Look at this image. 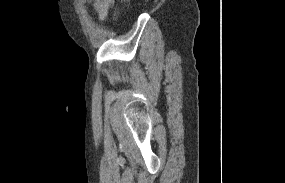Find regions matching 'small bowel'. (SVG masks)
<instances>
[{
	"label": "small bowel",
	"mask_w": 285,
	"mask_h": 183,
	"mask_svg": "<svg viewBox=\"0 0 285 183\" xmlns=\"http://www.w3.org/2000/svg\"><path fill=\"white\" fill-rule=\"evenodd\" d=\"M92 3L94 12L100 21H104L109 13V9L114 4V0H88Z\"/></svg>",
	"instance_id": "small-bowel-1"
}]
</instances>
